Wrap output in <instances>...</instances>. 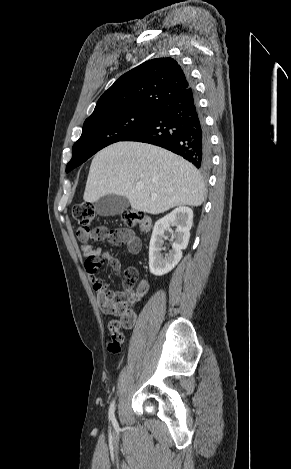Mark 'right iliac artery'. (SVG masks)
<instances>
[{"label":"right iliac artery","mask_w":291,"mask_h":469,"mask_svg":"<svg viewBox=\"0 0 291 469\" xmlns=\"http://www.w3.org/2000/svg\"><path fill=\"white\" fill-rule=\"evenodd\" d=\"M114 410H115V401H112L110 408H109V419L112 421L113 424H116Z\"/></svg>","instance_id":"obj_1"}]
</instances>
